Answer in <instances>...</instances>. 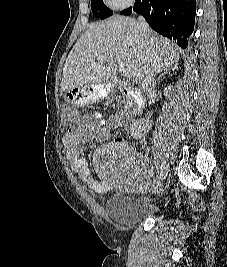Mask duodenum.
<instances>
[{"instance_id":"obj_1","label":"duodenum","mask_w":227,"mask_h":267,"mask_svg":"<svg viewBox=\"0 0 227 267\" xmlns=\"http://www.w3.org/2000/svg\"><path fill=\"white\" fill-rule=\"evenodd\" d=\"M118 90L129 98L133 114H139L143 111L146 101L145 97L138 90L124 84L119 78L115 79Z\"/></svg>"}]
</instances>
